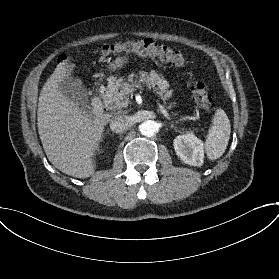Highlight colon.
Returning a JSON list of instances; mask_svg holds the SVG:
<instances>
[{"mask_svg": "<svg viewBox=\"0 0 279 279\" xmlns=\"http://www.w3.org/2000/svg\"><path fill=\"white\" fill-rule=\"evenodd\" d=\"M122 54L155 57L162 62H167L175 66H186L190 64V60L181 52L174 50L170 46L158 44L148 39L119 42L106 45L103 48L104 56ZM61 63L67 70H71L74 67V62L66 57L61 58ZM193 96L200 107L210 109L213 106L209 88L203 80L194 82Z\"/></svg>", "mask_w": 279, "mask_h": 279, "instance_id": "5ec220e1", "label": "colon"}]
</instances>
